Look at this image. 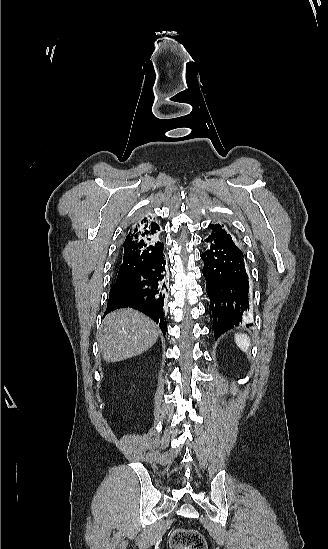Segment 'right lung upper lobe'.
<instances>
[{
	"label": "right lung upper lobe",
	"instance_id": "obj_1",
	"mask_svg": "<svg viewBox=\"0 0 328 549\" xmlns=\"http://www.w3.org/2000/svg\"><path fill=\"white\" fill-rule=\"evenodd\" d=\"M160 235L159 224L149 215L130 226L118 255V280L132 275L162 253Z\"/></svg>",
	"mask_w": 328,
	"mask_h": 549
}]
</instances>
